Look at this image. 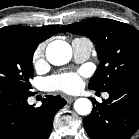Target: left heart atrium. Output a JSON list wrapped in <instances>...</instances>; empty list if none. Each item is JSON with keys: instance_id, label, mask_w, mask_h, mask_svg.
Instances as JSON below:
<instances>
[{"instance_id": "1", "label": "left heart atrium", "mask_w": 139, "mask_h": 139, "mask_svg": "<svg viewBox=\"0 0 139 139\" xmlns=\"http://www.w3.org/2000/svg\"><path fill=\"white\" fill-rule=\"evenodd\" d=\"M47 84L51 90L72 93L80 89L82 85V77L80 73H61L50 77Z\"/></svg>"}]
</instances>
